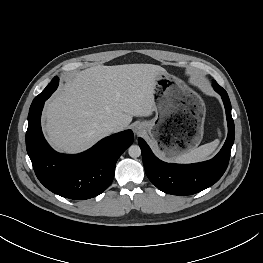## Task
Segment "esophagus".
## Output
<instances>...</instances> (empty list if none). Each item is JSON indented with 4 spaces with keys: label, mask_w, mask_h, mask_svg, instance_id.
Listing matches in <instances>:
<instances>
[{
    "label": "esophagus",
    "mask_w": 263,
    "mask_h": 263,
    "mask_svg": "<svg viewBox=\"0 0 263 263\" xmlns=\"http://www.w3.org/2000/svg\"><path fill=\"white\" fill-rule=\"evenodd\" d=\"M133 131H134V133H135L136 135H140V134L142 133V127H141V125H135V126L133 127Z\"/></svg>",
    "instance_id": "esophagus-1"
}]
</instances>
